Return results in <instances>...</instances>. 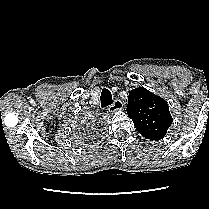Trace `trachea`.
<instances>
[{
  "instance_id": "obj_1",
  "label": "trachea",
  "mask_w": 209,
  "mask_h": 209,
  "mask_svg": "<svg viewBox=\"0 0 209 209\" xmlns=\"http://www.w3.org/2000/svg\"><path fill=\"white\" fill-rule=\"evenodd\" d=\"M100 100H101V107L104 108L110 106L113 103L111 92L108 89L103 88L101 92Z\"/></svg>"
}]
</instances>
